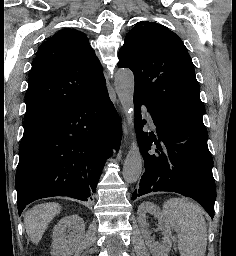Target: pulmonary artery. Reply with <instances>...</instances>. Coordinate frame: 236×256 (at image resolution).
Segmentation results:
<instances>
[{
	"label": "pulmonary artery",
	"mask_w": 236,
	"mask_h": 256,
	"mask_svg": "<svg viewBox=\"0 0 236 256\" xmlns=\"http://www.w3.org/2000/svg\"><path fill=\"white\" fill-rule=\"evenodd\" d=\"M142 111H143L144 115H145L150 121H152L151 114H150V112L148 111V109H147L146 106H143V107H142Z\"/></svg>",
	"instance_id": "1"
}]
</instances>
